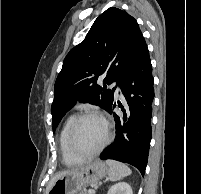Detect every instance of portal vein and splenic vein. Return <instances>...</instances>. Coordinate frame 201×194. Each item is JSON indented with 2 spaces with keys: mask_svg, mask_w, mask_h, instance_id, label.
Returning <instances> with one entry per match:
<instances>
[{
  "mask_svg": "<svg viewBox=\"0 0 201 194\" xmlns=\"http://www.w3.org/2000/svg\"><path fill=\"white\" fill-rule=\"evenodd\" d=\"M88 193H89V194H95V190L89 189Z\"/></svg>",
  "mask_w": 201,
  "mask_h": 194,
  "instance_id": "1",
  "label": "portal vein and splenic vein"
}]
</instances>
